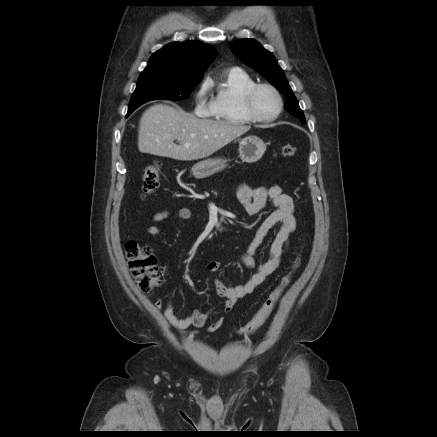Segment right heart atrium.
I'll use <instances>...</instances> for the list:
<instances>
[{
	"instance_id": "right-heart-atrium-1",
	"label": "right heart atrium",
	"mask_w": 437,
	"mask_h": 437,
	"mask_svg": "<svg viewBox=\"0 0 437 437\" xmlns=\"http://www.w3.org/2000/svg\"><path fill=\"white\" fill-rule=\"evenodd\" d=\"M209 84L204 82L195 94V113L199 116H209L213 113L212 101L208 100Z\"/></svg>"
}]
</instances>
